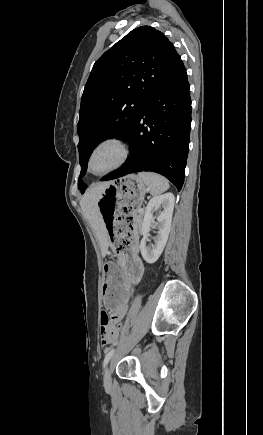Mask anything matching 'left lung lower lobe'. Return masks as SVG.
Returning <instances> with one entry per match:
<instances>
[{
  "instance_id": "left-lung-lower-lobe-1",
  "label": "left lung lower lobe",
  "mask_w": 263,
  "mask_h": 435,
  "mask_svg": "<svg viewBox=\"0 0 263 435\" xmlns=\"http://www.w3.org/2000/svg\"><path fill=\"white\" fill-rule=\"evenodd\" d=\"M190 129V88L181 61L140 111L126 139L133 149L123 168L101 180L152 171L165 176L180 190L184 182Z\"/></svg>"
}]
</instances>
